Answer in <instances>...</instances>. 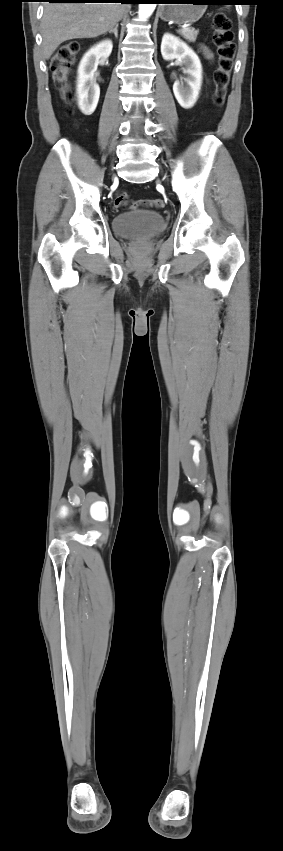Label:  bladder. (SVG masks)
I'll return each instance as SVG.
<instances>
[{"mask_svg": "<svg viewBox=\"0 0 283 851\" xmlns=\"http://www.w3.org/2000/svg\"><path fill=\"white\" fill-rule=\"evenodd\" d=\"M112 227L120 237L154 236L164 231V217L154 210L134 209L116 215Z\"/></svg>", "mask_w": 283, "mask_h": 851, "instance_id": "obj_1", "label": "bladder"}]
</instances>
